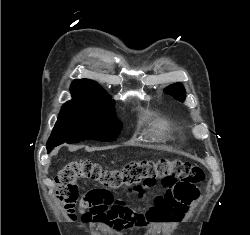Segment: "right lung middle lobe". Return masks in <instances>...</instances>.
Instances as JSON below:
<instances>
[{
	"mask_svg": "<svg viewBox=\"0 0 250 235\" xmlns=\"http://www.w3.org/2000/svg\"><path fill=\"white\" fill-rule=\"evenodd\" d=\"M113 106V100L65 103L47 145L85 140L115 141L122 123L116 118Z\"/></svg>",
	"mask_w": 250,
	"mask_h": 235,
	"instance_id": "dd1d6c3e",
	"label": "right lung middle lobe"
}]
</instances>
